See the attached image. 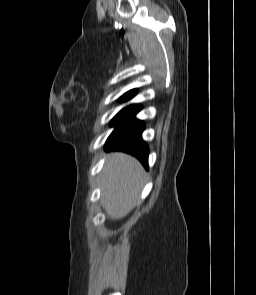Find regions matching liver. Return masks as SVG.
Listing matches in <instances>:
<instances>
[{
  "instance_id": "1",
  "label": "liver",
  "mask_w": 256,
  "mask_h": 295,
  "mask_svg": "<svg viewBox=\"0 0 256 295\" xmlns=\"http://www.w3.org/2000/svg\"><path fill=\"white\" fill-rule=\"evenodd\" d=\"M145 171L134 157L113 152L102 172L103 207L111 219L125 217L137 201Z\"/></svg>"
}]
</instances>
